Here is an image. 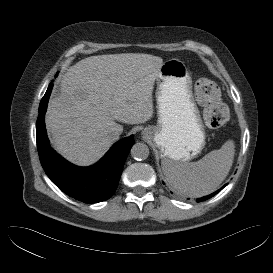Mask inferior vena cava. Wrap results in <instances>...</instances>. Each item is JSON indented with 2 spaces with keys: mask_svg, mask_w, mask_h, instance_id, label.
Masks as SVG:
<instances>
[{
  "mask_svg": "<svg viewBox=\"0 0 273 273\" xmlns=\"http://www.w3.org/2000/svg\"><path fill=\"white\" fill-rule=\"evenodd\" d=\"M110 137H111V139H112L113 141H116V140H118V138H119V133H118V132H113V133L110 135Z\"/></svg>",
  "mask_w": 273,
  "mask_h": 273,
  "instance_id": "602c4592",
  "label": "inferior vena cava"
}]
</instances>
